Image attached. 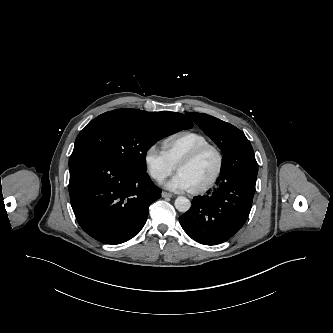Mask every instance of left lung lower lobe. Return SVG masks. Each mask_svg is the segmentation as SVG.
<instances>
[{
  "label": "left lung lower lobe",
  "mask_w": 333,
  "mask_h": 333,
  "mask_svg": "<svg viewBox=\"0 0 333 333\" xmlns=\"http://www.w3.org/2000/svg\"><path fill=\"white\" fill-rule=\"evenodd\" d=\"M257 173L258 164L250 142L226 154L217 189L194 197L191 208L179 217L184 231L205 245L231 238L249 216Z\"/></svg>",
  "instance_id": "left-lung-lower-lobe-1"
}]
</instances>
